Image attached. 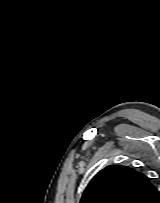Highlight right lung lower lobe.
<instances>
[{
    "label": "right lung lower lobe",
    "mask_w": 160,
    "mask_h": 203,
    "mask_svg": "<svg viewBox=\"0 0 160 203\" xmlns=\"http://www.w3.org/2000/svg\"><path fill=\"white\" fill-rule=\"evenodd\" d=\"M157 192H158V191H157ZM155 203H160L159 195L157 196V199H156Z\"/></svg>",
    "instance_id": "1"
}]
</instances>
